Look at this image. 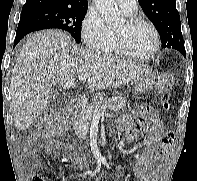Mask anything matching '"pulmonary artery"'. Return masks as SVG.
<instances>
[{
  "label": "pulmonary artery",
  "instance_id": "e3ab8cb5",
  "mask_svg": "<svg viewBox=\"0 0 197 181\" xmlns=\"http://www.w3.org/2000/svg\"><path fill=\"white\" fill-rule=\"evenodd\" d=\"M119 7L126 13V14H133L137 8V1L136 0H116Z\"/></svg>",
  "mask_w": 197,
  "mask_h": 181
}]
</instances>
